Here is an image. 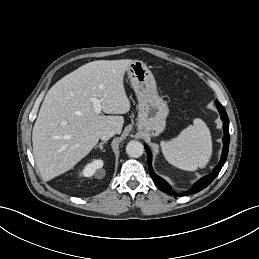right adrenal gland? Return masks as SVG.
I'll return each instance as SVG.
<instances>
[{
    "mask_svg": "<svg viewBox=\"0 0 259 259\" xmlns=\"http://www.w3.org/2000/svg\"><path fill=\"white\" fill-rule=\"evenodd\" d=\"M105 143H107V141L100 142L99 145L95 146V149L100 148L101 151H105V150H103V145Z\"/></svg>",
    "mask_w": 259,
    "mask_h": 259,
    "instance_id": "obj_1",
    "label": "right adrenal gland"
}]
</instances>
